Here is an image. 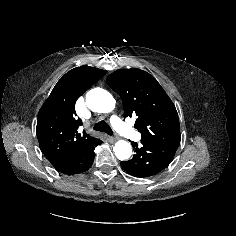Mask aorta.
<instances>
[{
	"mask_svg": "<svg viewBox=\"0 0 236 236\" xmlns=\"http://www.w3.org/2000/svg\"><path fill=\"white\" fill-rule=\"evenodd\" d=\"M86 104L94 112L108 113L114 109L115 99L108 91L94 88L87 93ZM113 151L119 160H127L132 155L131 144L125 140L117 141Z\"/></svg>",
	"mask_w": 236,
	"mask_h": 236,
	"instance_id": "1",
	"label": "aorta"
}]
</instances>
